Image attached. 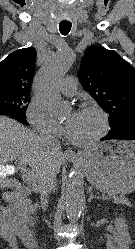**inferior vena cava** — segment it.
Returning <instances> with one entry per match:
<instances>
[{"label": "inferior vena cava", "mask_w": 135, "mask_h": 249, "mask_svg": "<svg viewBox=\"0 0 135 249\" xmlns=\"http://www.w3.org/2000/svg\"><path fill=\"white\" fill-rule=\"evenodd\" d=\"M43 140L58 154L61 150L60 141L51 134H46ZM56 187V174L54 170L46 172L41 178L39 183V191L41 193V204L45 208L48 204V194H50Z\"/></svg>", "instance_id": "inferior-vena-cava-1"}]
</instances>
